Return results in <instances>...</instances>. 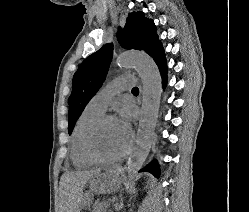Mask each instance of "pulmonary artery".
<instances>
[{"instance_id": "obj_1", "label": "pulmonary artery", "mask_w": 249, "mask_h": 212, "mask_svg": "<svg viewBox=\"0 0 249 212\" xmlns=\"http://www.w3.org/2000/svg\"><path fill=\"white\" fill-rule=\"evenodd\" d=\"M129 76L121 75L109 81L91 98L89 104L95 109L104 112L109 101L114 96L132 88V85L126 82Z\"/></svg>"}]
</instances>
